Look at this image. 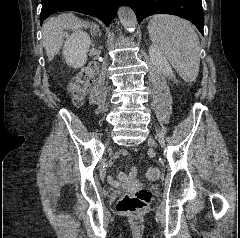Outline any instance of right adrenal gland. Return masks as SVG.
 <instances>
[{
	"label": "right adrenal gland",
	"mask_w": 240,
	"mask_h": 238,
	"mask_svg": "<svg viewBox=\"0 0 240 238\" xmlns=\"http://www.w3.org/2000/svg\"><path fill=\"white\" fill-rule=\"evenodd\" d=\"M91 31H92V35L94 36V35H96L97 33H98V35L99 36H101V33L99 32L100 30H99V27L97 26V25H92L91 26Z\"/></svg>",
	"instance_id": "obj_1"
}]
</instances>
